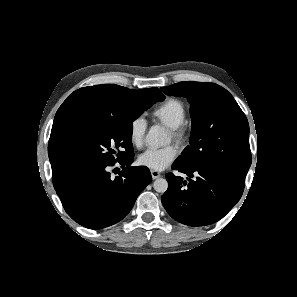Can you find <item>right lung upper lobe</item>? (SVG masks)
Listing matches in <instances>:
<instances>
[{"mask_svg":"<svg viewBox=\"0 0 297 297\" xmlns=\"http://www.w3.org/2000/svg\"><path fill=\"white\" fill-rule=\"evenodd\" d=\"M144 91L165 99L158 88L132 90L114 84L84 87L70 94L55 115L48 144L53 181L60 180L67 172L62 168L57 153L60 133L66 126L81 117L117 113L126 107L131 98Z\"/></svg>","mask_w":297,"mask_h":297,"instance_id":"cb5924a9","label":"right lung upper lobe"}]
</instances>
